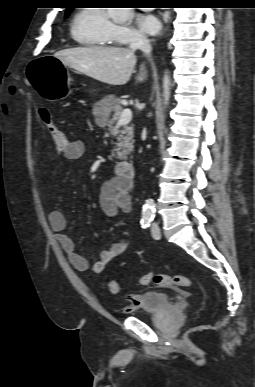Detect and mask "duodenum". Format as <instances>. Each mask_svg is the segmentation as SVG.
I'll use <instances>...</instances> for the list:
<instances>
[{
  "mask_svg": "<svg viewBox=\"0 0 255 387\" xmlns=\"http://www.w3.org/2000/svg\"><path fill=\"white\" fill-rule=\"evenodd\" d=\"M116 173L120 179L126 183H130L135 176V166L131 160H123L116 164Z\"/></svg>",
  "mask_w": 255,
  "mask_h": 387,
  "instance_id": "obj_1",
  "label": "duodenum"
}]
</instances>
